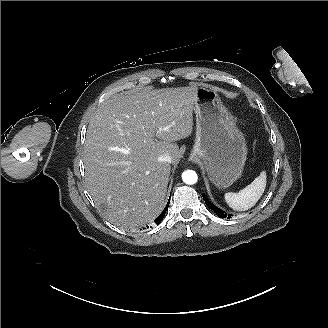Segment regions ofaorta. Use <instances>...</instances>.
I'll return each instance as SVG.
<instances>
[{
	"instance_id": "1",
	"label": "aorta",
	"mask_w": 328,
	"mask_h": 328,
	"mask_svg": "<svg viewBox=\"0 0 328 328\" xmlns=\"http://www.w3.org/2000/svg\"><path fill=\"white\" fill-rule=\"evenodd\" d=\"M182 180L189 185L195 184L198 180L197 173L193 170H186L182 173Z\"/></svg>"
}]
</instances>
